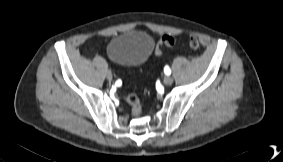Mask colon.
I'll return each instance as SVG.
<instances>
[{"label": "colon", "instance_id": "colon-1", "mask_svg": "<svg viewBox=\"0 0 283 162\" xmlns=\"http://www.w3.org/2000/svg\"><path fill=\"white\" fill-rule=\"evenodd\" d=\"M175 43V39L172 35H163L160 40L158 41L157 47H156V53L159 56L163 55V49L164 48H171ZM188 45L192 49H197L199 47L198 39L195 36H190L188 39ZM125 102L130 106L131 112L133 115H139L142 106L138 99V97L135 94L129 93L124 96Z\"/></svg>", "mask_w": 283, "mask_h": 162}]
</instances>
